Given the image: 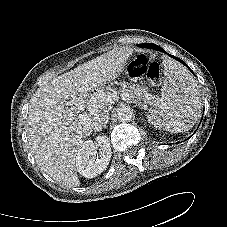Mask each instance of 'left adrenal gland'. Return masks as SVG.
I'll list each match as a JSON object with an SVG mask.
<instances>
[{"mask_svg":"<svg viewBox=\"0 0 227 227\" xmlns=\"http://www.w3.org/2000/svg\"><path fill=\"white\" fill-rule=\"evenodd\" d=\"M133 103H136V104H137V101H136V100H134V101H133ZM138 104H140V103H138Z\"/></svg>","mask_w":227,"mask_h":227,"instance_id":"1","label":"left adrenal gland"}]
</instances>
